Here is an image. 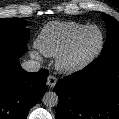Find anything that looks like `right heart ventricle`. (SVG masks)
I'll use <instances>...</instances> for the list:
<instances>
[{
    "instance_id": "1",
    "label": "right heart ventricle",
    "mask_w": 119,
    "mask_h": 119,
    "mask_svg": "<svg viewBox=\"0 0 119 119\" xmlns=\"http://www.w3.org/2000/svg\"><path fill=\"white\" fill-rule=\"evenodd\" d=\"M86 25L72 21H53L40 32L37 49L46 56H58Z\"/></svg>"
}]
</instances>
